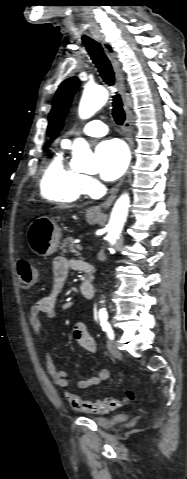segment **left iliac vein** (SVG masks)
<instances>
[{
  "instance_id": "left-iliac-vein-1",
  "label": "left iliac vein",
  "mask_w": 187,
  "mask_h": 479,
  "mask_svg": "<svg viewBox=\"0 0 187 479\" xmlns=\"http://www.w3.org/2000/svg\"><path fill=\"white\" fill-rule=\"evenodd\" d=\"M107 348L109 350V352L111 353V355L115 358H121V352L120 350L118 349V346L117 344L115 343V341L113 340H108L107 341Z\"/></svg>"
}]
</instances>
